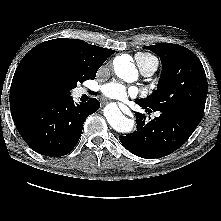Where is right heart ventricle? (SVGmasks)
Returning <instances> with one entry per match:
<instances>
[{
	"label": "right heart ventricle",
	"instance_id": "obj_1",
	"mask_svg": "<svg viewBox=\"0 0 221 221\" xmlns=\"http://www.w3.org/2000/svg\"><path fill=\"white\" fill-rule=\"evenodd\" d=\"M135 59L140 64H145L149 62H158L156 57H154L153 55L149 53H138L136 54Z\"/></svg>",
	"mask_w": 221,
	"mask_h": 221
}]
</instances>
